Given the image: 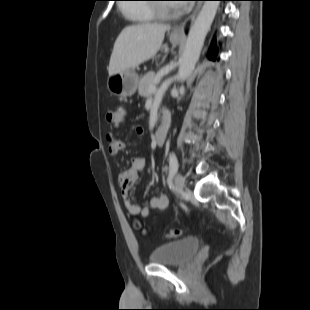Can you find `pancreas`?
Returning <instances> with one entry per match:
<instances>
[{"instance_id":"pancreas-1","label":"pancreas","mask_w":310,"mask_h":310,"mask_svg":"<svg viewBox=\"0 0 310 310\" xmlns=\"http://www.w3.org/2000/svg\"><path fill=\"white\" fill-rule=\"evenodd\" d=\"M155 74L153 72H149L144 75L138 84V93L143 97H150L152 93L149 92V88L151 86H155Z\"/></svg>"}]
</instances>
